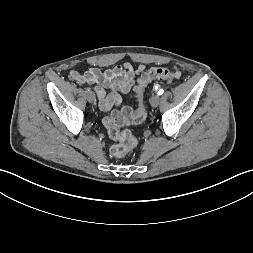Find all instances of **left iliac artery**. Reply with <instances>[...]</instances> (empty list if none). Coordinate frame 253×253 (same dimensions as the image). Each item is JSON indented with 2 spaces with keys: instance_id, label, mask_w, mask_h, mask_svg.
Instances as JSON below:
<instances>
[{
  "instance_id": "obj_1",
  "label": "left iliac artery",
  "mask_w": 253,
  "mask_h": 253,
  "mask_svg": "<svg viewBox=\"0 0 253 253\" xmlns=\"http://www.w3.org/2000/svg\"><path fill=\"white\" fill-rule=\"evenodd\" d=\"M164 93V90L163 89H160L159 91H158V95H162Z\"/></svg>"
}]
</instances>
